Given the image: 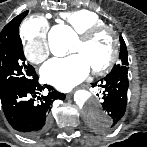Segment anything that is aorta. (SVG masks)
<instances>
[{"label":"aorta","instance_id":"obj_1","mask_svg":"<svg viewBox=\"0 0 147 147\" xmlns=\"http://www.w3.org/2000/svg\"><path fill=\"white\" fill-rule=\"evenodd\" d=\"M74 33L71 29L64 28L57 34L49 35V46L51 52L56 56H63L69 52L73 41ZM75 101L81 107L86 120L89 123L105 122L108 115L103 111L99 100L87 93L79 91L75 96Z\"/></svg>","mask_w":147,"mask_h":147}]
</instances>
